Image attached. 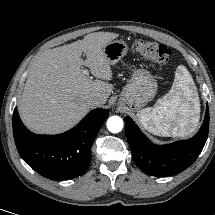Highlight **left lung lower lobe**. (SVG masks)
Returning a JSON list of instances; mask_svg holds the SVG:
<instances>
[{
    "instance_id": "left-lung-lower-lobe-1",
    "label": "left lung lower lobe",
    "mask_w": 215,
    "mask_h": 215,
    "mask_svg": "<svg viewBox=\"0 0 215 215\" xmlns=\"http://www.w3.org/2000/svg\"><path fill=\"white\" fill-rule=\"evenodd\" d=\"M125 124L136 165L149 175L170 176L184 171L201 153L208 137L209 109L207 105L204 122L193 138L162 146L151 143L131 118L125 117Z\"/></svg>"
}]
</instances>
